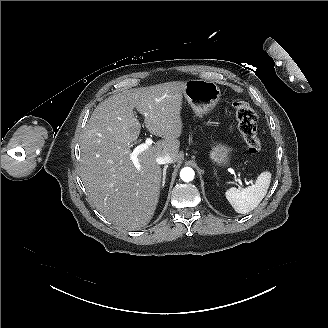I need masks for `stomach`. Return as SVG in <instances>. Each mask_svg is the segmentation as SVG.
I'll return each mask as SVG.
<instances>
[{"label": "stomach", "instance_id": "obj_1", "mask_svg": "<svg viewBox=\"0 0 328 328\" xmlns=\"http://www.w3.org/2000/svg\"><path fill=\"white\" fill-rule=\"evenodd\" d=\"M184 97L198 117L209 113L218 103L221 91L214 81L191 79L184 83ZM230 147L216 144L210 151L211 160L218 166L229 162Z\"/></svg>", "mask_w": 328, "mask_h": 328}]
</instances>
